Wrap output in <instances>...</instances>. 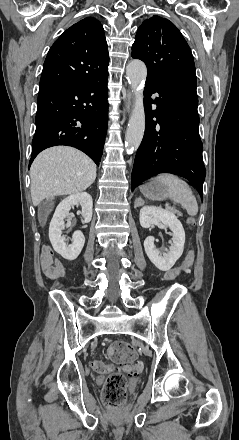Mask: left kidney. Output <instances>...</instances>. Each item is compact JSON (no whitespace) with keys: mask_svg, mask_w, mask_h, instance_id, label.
<instances>
[{"mask_svg":"<svg viewBox=\"0 0 239 440\" xmlns=\"http://www.w3.org/2000/svg\"><path fill=\"white\" fill-rule=\"evenodd\" d=\"M139 220L142 228H151L154 224L156 226L163 224V226L170 228L171 232H173L172 244L169 250H164L165 254H161L160 250H157L153 236H148L144 240L145 252L150 262L161 272H168L183 254L185 232L181 222L177 220L173 212H168V210H163V208H156V206H144V208H141Z\"/></svg>","mask_w":239,"mask_h":440,"instance_id":"left-kidney-1","label":"left kidney"}]
</instances>
